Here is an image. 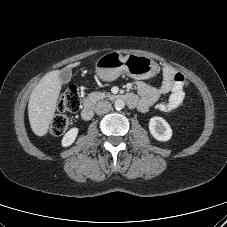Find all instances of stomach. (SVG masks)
<instances>
[{
    "instance_id": "stomach-1",
    "label": "stomach",
    "mask_w": 227,
    "mask_h": 227,
    "mask_svg": "<svg viewBox=\"0 0 227 227\" xmlns=\"http://www.w3.org/2000/svg\"><path fill=\"white\" fill-rule=\"evenodd\" d=\"M96 73L104 81H113L122 73L134 79H149L159 70L158 64L150 57L138 54L122 56L113 51L101 56L95 64Z\"/></svg>"
}]
</instances>
